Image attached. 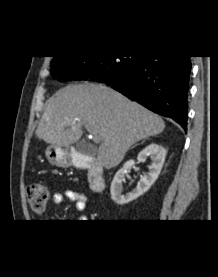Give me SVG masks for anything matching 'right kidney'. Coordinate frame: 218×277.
Returning <instances> with one entry per match:
<instances>
[{
    "mask_svg": "<svg viewBox=\"0 0 218 277\" xmlns=\"http://www.w3.org/2000/svg\"><path fill=\"white\" fill-rule=\"evenodd\" d=\"M165 156V148L155 143L148 145L144 150H142L138 154L137 160L138 162H145L149 157L153 161L152 164L148 167L149 173L141 177L140 182L132 192L122 195V183L125 181L124 176L127 171L135 164V161L132 159L125 162L123 167L116 172L111 183L110 192L112 200L119 205H123L137 199L139 196L147 192L157 180L164 164Z\"/></svg>",
    "mask_w": 218,
    "mask_h": 277,
    "instance_id": "ca27d5eb",
    "label": "right kidney"
}]
</instances>
